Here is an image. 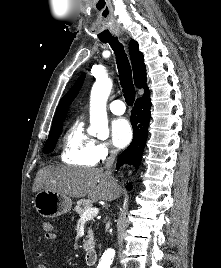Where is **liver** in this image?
I'll use <instances>...</instances> for the list:
<instances>
[{
    "label": "liver",
    "instance_id": "liver-1",
    "mask_svg": "<svg viewBox=\"0 0 221 268\" xmlns=\"http://www.w3.org/2000/svg\"><path fill=\"white\" fill-rule=\"evenodd\" d=\"M33 192L52 191L73 198L88 196L93 200L112 201L121 187L103 168L46 166L35 177Z\"/></svg>",
    "mask_w": 221,
    "mask_h": 268
}]
</instances>
